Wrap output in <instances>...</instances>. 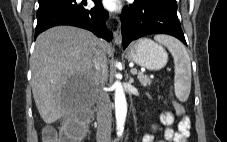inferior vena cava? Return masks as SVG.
Listing matches in <instances>:
<instances>
[{"label":"inferior vena cava","mask_w":227,"mask_h":142,"mask_svg":"<svg viewBox=\"0 0 227 142\" xmlns=\"http://www.w3.org/2000/svg\"><path fill=\"white\" fill-rule=\"evenodd\" d=\"M93 65L95 69V82L98 84V102H97V142H110L112 113L110 99L104 91L105 81L107 79V58L100 48H95Z\"/></svg>","instance_id":"inferior-vena-cava-1"}]
</instances>
